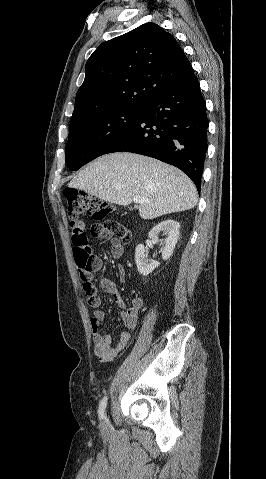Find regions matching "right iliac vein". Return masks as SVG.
<instances>
[{"label": "right iliac vein", "instance_id": "right-iliac-vein-1", "mask_svg": "<svg viewBox=\"0 0 266 479\" xmlns=\"http://www.w3.org/2000/svg\"><path fill=\"white\" fill-rule=\"evenodd\" d=\"M101 428H102V430H104V431H106V430L108 429V426H107V423H106L105 420H103V421L101 422Z\"/></svg>", "mask_w": 266, "mask_h": 479}]
</instances>
